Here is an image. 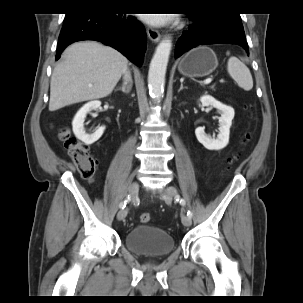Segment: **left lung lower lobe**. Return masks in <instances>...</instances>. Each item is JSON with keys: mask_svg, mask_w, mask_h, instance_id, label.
Masks as SVG:
<instances>
[{"mask_svg": "<svg viewBox=\"0 0 303 303\" xmlns=\"http://www.w3.org/2000/svg\"><path fill=\"white\" fill-rule=\"evenodd\" d=\"M189 17L194 24L178 39L175 58L196 46L206 44H236L249 52L241 22L210 20L204 14H190Z\"/></svg>", "mask_w": 303, "mask_h": 303, "instance_id": "obj_1", "label": "left lung lower lobe"}]
</instances>
